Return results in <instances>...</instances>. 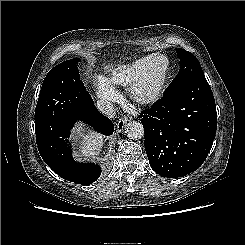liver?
<instances>
[{
	"instance_id": "obj_1",
	"label": "liver",
	"mask_w": 245,
	"mask_h": 245,
	"mask_svg": "<svg viewBox=\"0 0 245 245\" xmlns=\"http://www.w3.org/2000/svg\"><path fill=\"white\" fill-rule=\"evenodd\" d=\"M80 152L84 158L96 157L103 146V136L92 130L79 133Z\"/></svg>"
}]
</instances>
